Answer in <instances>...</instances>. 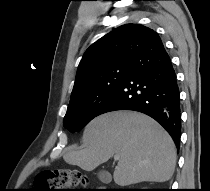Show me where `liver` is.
<instances>
[{
	"label": "liver",
	"instance_id": "6515ba94",
	"mask_svg": "<svg viewBox=\"0 0 210 191\" xmlns=\"http://www.w3.org/2000/svg\"><path fill=\"white\" fill-rule=\"evenodd\" d=\"M83 148L64 154L65 162L92 171L118 154L113 177L119 186L165 182L174 172L176 148L170 135L152 118L114 111L93 119L83 133Z\"/></svg>",
	"mask_w": 210,
	"mask_h": 191
}]
</instances>
